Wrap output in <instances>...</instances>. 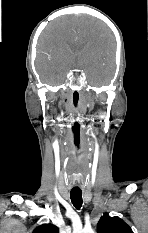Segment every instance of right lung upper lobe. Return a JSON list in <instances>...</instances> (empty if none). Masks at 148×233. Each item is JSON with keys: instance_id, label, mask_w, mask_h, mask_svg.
I'll return each mask as SVG.
<instances>
[{"instance_id": "1", "label": "right lung upper lobe", "mask_w": 148, "mask_h": 233, "mask_svg": "<svg viewBox=\"0 0 148 233\" xmlns=\"http://www.w3.org/2000/svg\"><path fill=\"white\" fill-rule=\"evenodd\" d=\"M33 233H59V229L53 224H43L36 228Z\"/></svg>"}]
</instances>
